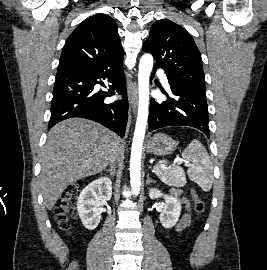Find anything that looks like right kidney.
I'll list each match as a JSON object with an SVG mask.
<instances>
[{
    "mask_svg": "<svg viewBox=\"0 0 267 270\" xmlns=\"http://www.w3.org/2000/svg\"><path fill=\"white\" fill-rule=\"evenodd\" d=\"M112 196V182L101 177L89 183L80 193L77 210L82 224L88 230H94L101 219L100 205Z\"/></svg>",
    "mask_w": 267,
    "mask_h": 270,
    "instance_id": "right-kidney-1",
    "label": "right kidney"
}]
</instances>
